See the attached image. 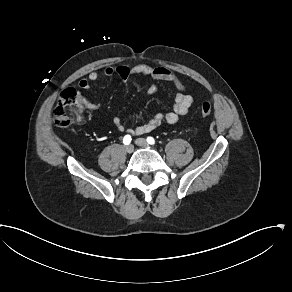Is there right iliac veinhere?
Here are the masks:
<instances>
[{
	"label": "right iliac vein",
	"mask_w": 292,
	"mask_h": 292,
	"mask_svg": "<svg viewBox=\"0 0 292 292\" xmlns=\"http://www.w3.org/2000/svg\"><path fill=\"white\" fill-rule=\"evenodd\" d=\"M125 150H126V152L127 153H132L133 152V150H134V146L133 145H127L126 147H125Z\"/></svg>",
	"instance_id": "right-iliac-vein-1"
}]
</instances>
